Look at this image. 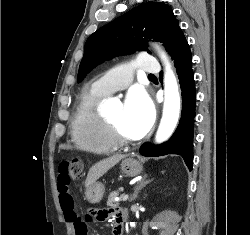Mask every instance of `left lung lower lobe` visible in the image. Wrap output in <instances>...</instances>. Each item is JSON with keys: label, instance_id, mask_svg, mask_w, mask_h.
I'll return each instance as SVG.
<instances>
[{"label": "left lung lower lobe", "instance_id": "obj_1", "mask_svg": "<svg viewBox=\"0 0 250 235\" xmlns=\"http://www.w3.org/2000/svg\"><path fill=\"white\" fill-rule=\"evenodd\" d=\"M169 54L174 60L182 91L180 123L169 141L158 146L145 143L141 146L140 153L146 157L178 154L183 157L189 170H192L196 90L191 51L182 30L178 32Z\"/></svg>", "mask_w": 250, "mask_h": 235}]
</instances>
